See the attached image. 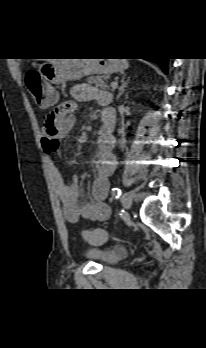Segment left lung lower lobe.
<instances>
[{"instance_id":"obj_1","label":"left lung lower lobe","mask_w":206,"mask_h":348,"mask_svg":"<svg viewBox=\"0 0 206 348\" xmlns=\"http://www.w3.org/2000/svg\"><path fill=\"white\" fill-rule=\"evenodd\" d=\"M149 60L157 63L161 67L163 72L167 73V71H168V58H154V59H149Z\"/></svg>"}]
</instances>
